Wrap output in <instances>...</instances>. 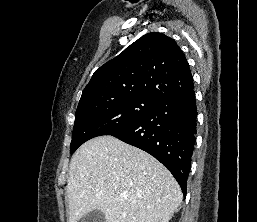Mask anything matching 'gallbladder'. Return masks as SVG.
Segmentation results:
<instances>
[{
  "label": "gallbladder",
  "instance_id": "1",
  "mask_svg": "<svg viewBox=\"0 0 257 222\" xmlns=\"http://www.w3.org/2000/svg\"><path fill=\"white\" fill-rule=\"evenodd\" d=\"M79 222H106V220L103 212L94 210L83 216Z\"/></svg>",
  "mask_w": 257,
  "mask_h": 222
}]
</instances>
